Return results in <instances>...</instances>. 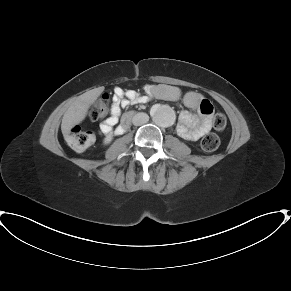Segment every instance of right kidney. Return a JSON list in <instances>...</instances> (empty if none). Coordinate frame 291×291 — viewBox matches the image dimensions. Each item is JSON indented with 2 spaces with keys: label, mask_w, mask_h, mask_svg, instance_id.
Masks as SVG:
<instances>
[{
  "label": "right kidney",
  "mask_w": 291,
  "mask_h": 291,
  "mask_svg": "<svg viewBox=\"0 0 291 291\" xmlns=\"http://www.w3.org/2000/svg\"><path fill=\"white\" fill-rule=\"evenodd\" d=\"M112 141V136L109 135L104 139V144H109Z\"/></svg>",
  "instance_id": "ca27d5eb"
}]
</instances>
